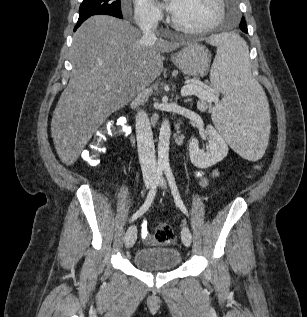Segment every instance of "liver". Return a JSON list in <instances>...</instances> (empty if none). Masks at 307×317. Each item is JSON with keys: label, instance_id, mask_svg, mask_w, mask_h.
I'll use <instances>...</instances> for the list:
<instances>
[{"label": "liver", "instance_id": "1", "mask_svg": "<svg viewBox=\"0 0 307 317\" xmlns=\"http://www.w3.org/2000/svg\"><path fill=\"white\" fill-rule=\"evenodd\" d=\"M183 45L162 39L147 42L136 27L111 16L86 20L73 35L70 81L51 122L61 161L72 165L99 126L161 74V53Z\"/></svg>", "mask_w": 307, "mask_h": 317}]
</instances>
